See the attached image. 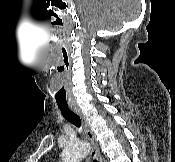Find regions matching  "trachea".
<instances>
[{"mask_svg": "<svg viewBox=\"0 0 175 162\" xmlns=\"http://www.w3.org/2000/svg\"><path fill=\"white\" fill-rule=\"evenodd\" d=\"M63 117L73 125H75L77 128L81 127V119L80 117L74 113L70 108L68 107H59ZM94 162H98L94 160Z\"/></svg>", "mask_w": 175, "mask_h": 162, "instance_id": "1", "label": "trachea"}]
</instances>
